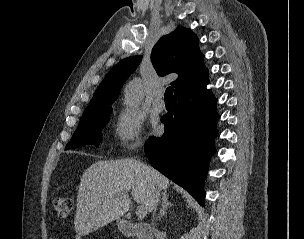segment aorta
I'll use <instances>...</instances> for the list:
<instances>
[{"label": "aorta", "mask_w": 304, "mask_h": 239, "mask_svg": "<svg viewBox=\"0 0 304 239\" xmlns=\"http://www.w3.org/2000/svg\"><path fill=\"white\" fill-rule=\"evenodd\" d=\"M142 87L138 80H133L125 90V102L128 105L136 106L142 100Z\"/></svg>", "instance_id": "obj_1"}]
</instances>
